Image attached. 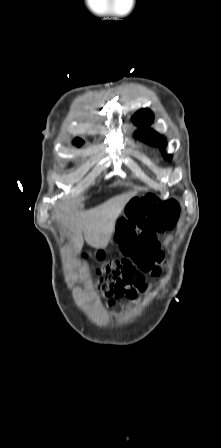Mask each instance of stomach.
I'll list each match as a JSON object with an SVG mask.
<instances>
[{"instance_id":"stomach-1","label":"stomach","mask_w":221,"mask_h":448,"mask_svg":"<svg viewBox=\"0 0 221 448\" xmlns=\"http://www.w3.org/2000/svg\"><path fill=\"white\" fill-rule=\"evenodd\" d=\"M131 204H132V200L129 201V202L126 204V206H125V212L128 211V209L131 207Z\"/></svg>"}]
</instances>
